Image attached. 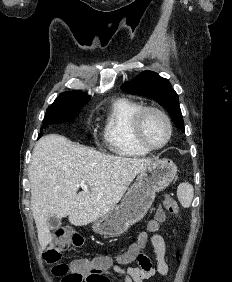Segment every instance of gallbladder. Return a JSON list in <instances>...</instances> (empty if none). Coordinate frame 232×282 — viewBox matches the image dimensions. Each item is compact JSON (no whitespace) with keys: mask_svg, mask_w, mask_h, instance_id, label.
Here are the masks:
<instances>
[{"mask_svg":"<svg viewBox=\"0 0 232 282\" xmlns=\"http://www.w3.org/2000/svg\"><path fill=\"white\" fill-rule=\"evenodd\" d=\"M47 224L50 230L57 229L61 226V218L55 215L49 216Z\"/></svg>","mask_w":232,"mask_h":282,"instance_id":"1","label":"gallbladder"}]
</instances>
